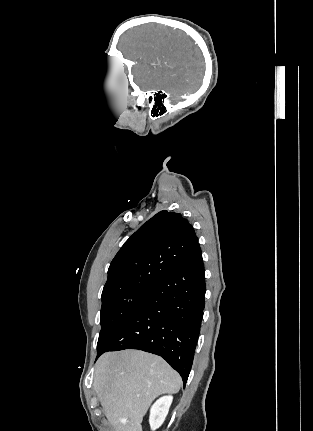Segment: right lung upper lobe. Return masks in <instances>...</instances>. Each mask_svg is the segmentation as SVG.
Here are the masks:
<instances>
[{
	"label": "right lung upper lobe",
	"mask_w": 313,
	"mask_h": 431,
	"mask_svg": "<svg viewBox=\"0 0 313 431\" xmlns=\"http://www.w3.org/2000/svg\"><path fill=\"white\" fill-rule=\"evenodd\" d=\"M198 244L194 228L179 213L160 211L124 243L108 269L102 296L156 287Z\"/></svg>",
	"instance_id": "right-lung-upper-lobe-1"
}]
</instances>
